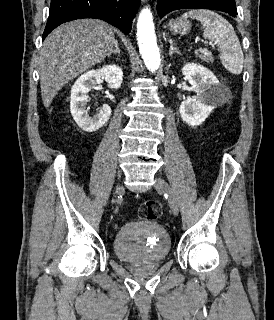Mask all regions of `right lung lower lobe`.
<instances>
[{"mask_svg": "<svg viewBox=\"0 0 274 320\" xmlns=\"http://www.w3.org/2000/svg\"><path fill=\"white\" fill-rule=\"evenodd\" d=\"M139 4L140 0H51L43 39L62 23L82 18L104 20L129 34Z\"/></svg>", "mask_w": 274, "mask_h": 320, "instance_id": "right-lung-lower-lobe-1", "label": "right lung lower lobe"}]
</instances>
